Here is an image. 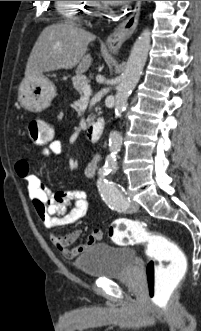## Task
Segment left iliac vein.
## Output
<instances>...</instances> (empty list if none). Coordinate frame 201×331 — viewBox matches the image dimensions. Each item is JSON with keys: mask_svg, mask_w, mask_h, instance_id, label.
Listing matches in <instances>:
<instances>
[{"mask_svg": "<svg viewBox=\"0 0 201 331\" xmlns=\"http://www.w3.org/2000/svg\"><path fill=\"white\" fill-rule=\"evenodd\" d=\"M130 209L132 211H137L139 209V204L134 202V201H131V204H130Z\"/></svg>", "mask_w": 201, "mask_h": 331, "instance_id": "1", "label": "left iliac vein"}]
</instances>
